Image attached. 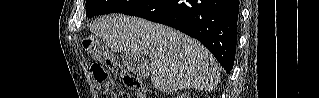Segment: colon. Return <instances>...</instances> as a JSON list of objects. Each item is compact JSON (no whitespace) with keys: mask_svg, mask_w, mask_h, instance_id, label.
I'll return each instance as SVG.
<instances>
[{"mask_svg":"<svg viewBox=\"0 0 319 98\" xmlns=\"http://www.w3.org/2000/svg\"><path fill=\"white\" fill-rule=\"evenodd\" d=\"M83 44L86 49H92L95 56L109 66L112 71V73L107 72L97 63L92 64L90 67L95 83L102 96L128 98V95L120 92L117 88L116 79L121 78L129 90L135 92L140 98L145 97L146 88L141 80L137 76L128 73L120 64L116 63L105 48L97 46L96 40L93 37L86 38Z\"/></svg>","mask_w":319,"mask_h":98,"instance_id":"obj_1","label":"colon"}]
</instances>
